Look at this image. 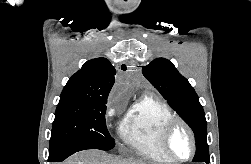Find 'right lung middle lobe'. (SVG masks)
Listing matches in <instances>:
<instances>
[{"mask_svg":"<svg viewBox=\"0 0 251 164\" xmlns=\"http://www.w3.org/2000/svg\"><path fill=\"white\" fill-rule=\"evenodd\" d=\"M106 103V99L61 96L49 148L54 149L63 144H82L89 149H112L114 141L105 122Z\"/></svg>","mask_w":251,"mask_h":164,"instance_id":"right-lung-middle-lobe-1","label":"right lung middle lobe"}]
</instances>
